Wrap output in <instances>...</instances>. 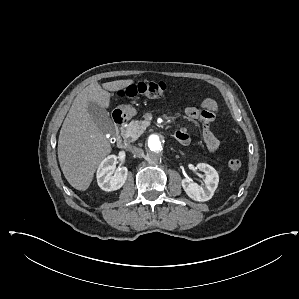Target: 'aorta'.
<instances>
[{
	"instance_id": "762f6f07",
	"label": "aorta",
	"mask_w": 299,
	"mask_h": 299,
	"mask_svg": "<svg viewBox=\"0 0 299 299\" xmlns=\"http://www.w3.org/2000/svg\"><path fill=\"white\" fill-rule=\"evenodd\" d=\"M146 148L150 155L159 156L165 149L164 138L159 134H151L146 141Z\"/></svg>"
}]
</instances>
